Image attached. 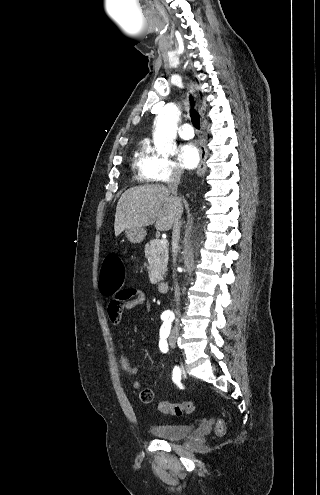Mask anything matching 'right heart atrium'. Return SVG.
<instances>
[{"label":"right heart atrium","mask_w":320,"mask_h":495,"mask_svg":"<svg viewBox=\"0 0 320 495\" xmlns=\"http://www.w3.org/2000/svg\"><path fill=\"white\" fill-rule=\"evenodd\" d=\"M149 179L154 182H166L181 175L180 165L168 158L152 154L148 162Z\"/></svg>","instance_id":"obj_1"}]
</instances>
